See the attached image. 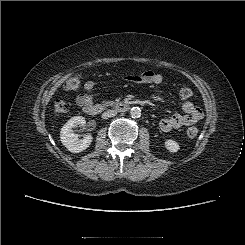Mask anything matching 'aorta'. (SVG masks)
Instances as JSON below:
<instances>
[{"label": "aorta", "mask_w": 245, "mask_h": 245, "mask_svg": "<svg viewBox=\"0 0 245 245\" xmlns=\"http://www.w3.org/2000/svg\"><path fill=\"white\" fill-rule=\"evenodd\" d=\"M130 115L132 118H139L141 116V109L139 107L131 108Z\"/></svg>", "instance_id": "aorta-1"}]
</instances>
